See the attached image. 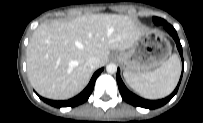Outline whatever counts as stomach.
<instances>
[{"label":"stomach","mask_w":203,"mask_h":123,"mask_svg":"<svg viewBox=\"0 0 203 123\" xmlns=\"http://www.w3.org/2000/svg\"><path fill=\"white\" fill-rule=\"evenodd\" d=\"M171 53L168 39L155 31L140 36L127 51L114 53L125 72L144 73L162 66Z\"/></svg>","instance_id":"0dacf381"}]
</instances>
